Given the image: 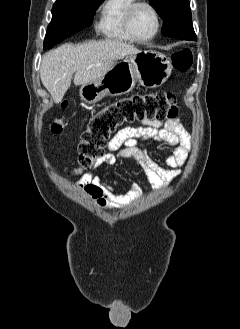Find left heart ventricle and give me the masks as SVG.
<instances>
[{
	"label": "left heart ventricle",
	"instance_id": "b2bd125f",
	"mask_svg": "<svg viewBox=\"0 0 240 329\" xmlns=\"http://www.w3.org/2000/svg\"><path fill=\"white\" fill-rule=\"evenodd\" d=\"M132 27L139 37L150 36L156 28L154 15L146 7L137 8L133 15Z\"/></svg>",
	"mask_w": 240,
	"mask_h": 329
}]
</instances>
